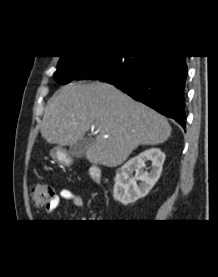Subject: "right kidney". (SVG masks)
<instances>
[{
	"instance_id": "right-kidney-1",
	"label": "right kidney",
	"mask_w": 218,
	"mask_h": 277,
	"mask_svg": "<svg viewBox=\"0 0 218 277\" xmlns=\"http://www.w3.org/2000/svg\"><path fill=\"white\" fill-rule=\"evenodd\" d=\"M165 154L158 148H151L128 160L116 172L113 197L116 201L127 205L145 197L158 181L165 161ZM151 161L148 173L145 162ZM135 171V176L133 172ZM141 181L138 186L136 181Z\"/></svg>"
}]
</instances>
